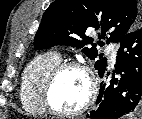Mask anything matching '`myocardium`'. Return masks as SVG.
<instances>
[{
  "mask_svg": "<svg viewBox=\"0 0 142 119\" xmlns=\"http://www.w3.org/2000/svg\"><path fill=\"white\" fill-rule=\"evenodd\" d=\"M81 71L88 81V94L85 102L76 110L62 111L55 107L52 101V92L59 77L67 70ZM97 96V81L92 70L85 64L77 61H65L57 65L44 81L41 99L46 111L61 117H74L87 111L95 102Z\"/></svg>",
  "mask_w": 142,
  "mask_h": 119,
  "instance_id": "f54148a6",
  "label": "myocardium"
}]
</instances>
